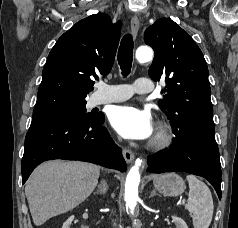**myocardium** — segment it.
Wrapping results in <instances>:
<instances>
[{"label":"myocardium","instance_id":"f54148a6","mask_svg":"<svg viewBox=\"0 0 238 228\" xmlns=\"http://www.w3.org/2000/svg\"><path fill=\"white\" fill-rule=\"evenodd\" d=\"M173 137L171 130L166 125H160L149 143V147L154 150H161L172 143Z\"/></svg>","mask_w":238,"mask_h":228}]
</instances>
